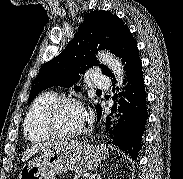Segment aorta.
<instances>
[{
  "instance_id": "aorta-1",
  "label": "aorta",
  "mask_w": 183,
  "mask_h": 179,
  "mask_svg": "<svg viewBox=\"0 0 183 179\" xmlns=\"http://www.w3.org/2000/svg\"><path fill=\"white\" fill-rule=\"evenodd\" d=\"M98 57L102 61V63L106 65L115 75L118 82V86L122 87L124 80V72L121 61L109 52H99Z\"/></svg>"
}]
</instances>
